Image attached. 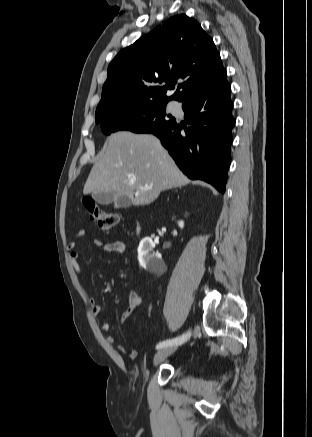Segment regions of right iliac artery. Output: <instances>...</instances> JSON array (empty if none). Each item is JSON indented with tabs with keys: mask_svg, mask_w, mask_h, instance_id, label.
<instances>
[{
	"mask_svg": "<svg viewBox=\"0 0 312 437\" xmlns=\"http://www.w3.org/2000/svg\"><path fill=\"white\" fill-rule=\"evenodd\" d=\"M190 336H191V333L187 332L179 337L158 343L156 348L161 349V348L166 347V346L182 344V343L186 342L190 338Z\"/></svg>",
	"mask_w": 312,
	"mask_h": 437,
	"instance_id": "82829eb1",
	"label": "right iliac artery"
}]
</instances>
